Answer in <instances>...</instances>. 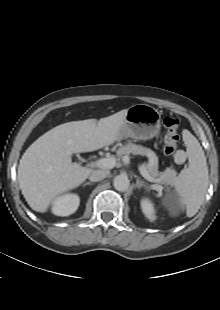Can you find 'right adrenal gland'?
Masks as SVG:
<instances>
[{"label": "right adrenal gland", "mask_w": 220, "mask_h": 310, "mask_svg": "<svg viewBox=\"0 0 220 310\" xmlns=\"http://www.w3.org/2000/svg\"><path fill=\"white\" fill-rule=\"evenodd\" d=\"M86 185H93V183H91V182H86V183L83 184V187H85Z\"/></svg>", "instance_id": "right-adrenal-gland-1"}]
</instances>
